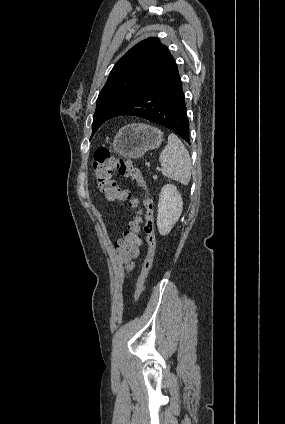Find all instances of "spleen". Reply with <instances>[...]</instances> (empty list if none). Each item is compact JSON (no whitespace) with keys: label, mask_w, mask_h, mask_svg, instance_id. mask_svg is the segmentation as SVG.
<instances>
[{"label":"spleen","mask_w":285,"mask_h":424,"mask_svg":"<svg viewBox=\"0 0 285 424\" xmlns=\"http://www.w3.org/2000/svg\"><path fill=\"white\" fill-rule=\"evenodd\" d=\"M162 174L187 185L191 178V158L182 141L175 135L168 136V144L160 153Z\"/></svg>","instance_id":"obj_1"}]
</instances>
